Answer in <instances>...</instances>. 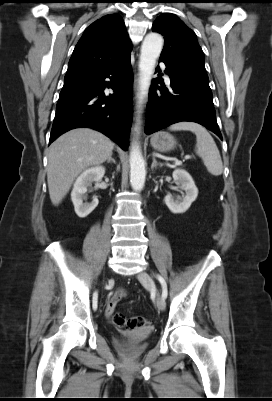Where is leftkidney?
<instances>
[{"mask_svg":"<svg viewBox=\"0 0 272 401\" xmlns=\"http://www.w3.org/2000/svg\"><path fill=\"white\" fill-rule=\"evenodd\" d=\"M172 175L175 183L185 191V195L174 198L172 195L168 194L165 197V204L174 214L184 213L196 200L198 196V189L193 181V178L187 171L176 169Z\"/></svg>","mask_w":272,"mask_h":401,"instance_id":"5707ae66","label":"left kidney"}]
</instances>
